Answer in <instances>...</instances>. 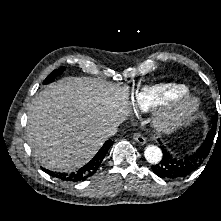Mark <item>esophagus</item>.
Segmentation results:
<instances>
[{"mask_svg":"<svg viewBox=\"0 0 221 221\" xmlns=\"http://www.w3.org/2000/svg\"><path fill=\"white\" fill-rule=\"evenodd\" d=\"M133 139H134L136 142L140 143V144H145V143H146L145 137H144L143 135L139 134V133H135V134L133 135Z\"/></svg>","mask_w":221,"mask_h":221,"instance_id":"34e87169","label":"esophagus"}]
</instances>
